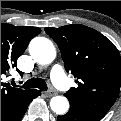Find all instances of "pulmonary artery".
Returning <instances> with one entry per match:
<instances>
[{
	"label": "pulmonary artery",
	"mask_w": 121,
	"mask_h": 121,
	"mask_svg": "<svg viewBox=\"0 0 121 121\" xmlns=\"http://www.w3.org/2000/svg\"><path fill=\"white\" fill-rule=\"evenodd\" d=\"M51 78H52L53 83L61 90L67 91L69 89L68 80L61 66L55 65L52 68Z\"/></svg>",
	"instance_id": "1"
}]
</instances>
